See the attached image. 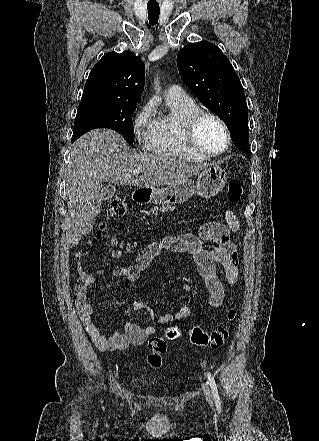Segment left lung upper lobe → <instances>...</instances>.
I'll list each match as a JSON object with an SVG mask.
<instances>
[{
    "label": "left lung upper lobe",
    "instance_id": "5c2ea615",
    "mask_svg": "<svg viewBox=\"0 0 319 441\" xmlns=\"http://www.w3.org/2000/svg\"><path fill=\"white\" fill-rule=\"evenodd\" d=\"M182 81L199 101L227 125L236 147L250 151L248 108L238 75L212 43H189L177 55Z\"/></svg>",
    "mask_w": 319,
    "mask_h": 441
}]
</instances>
